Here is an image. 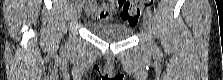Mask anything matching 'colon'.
<instances>
[{"mask_svg": "<svg viewBox=\"0 0 223 80\" xmlns=\"http://www.w3.org/2000/svg\"><path fill=\"white\" fill-rule=\"evenodd\" d=\"M96 4H106L112 6L115 13L129 22V24H136L140 18L141 11L144 7H149L154 3V0H131V1H113L106 2H95Z\"/></svg>", "mask_w": 223, "mask_h": 80, "instance_id": "5ec220e1", "label": "colon"}]
</instances>
